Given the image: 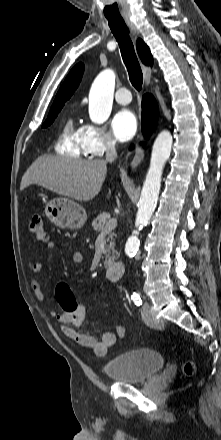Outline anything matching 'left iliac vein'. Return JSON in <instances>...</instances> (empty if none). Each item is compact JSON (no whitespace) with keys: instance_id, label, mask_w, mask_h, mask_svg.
<instances>
[{"instance_id":"obj_1","label":"left iliac vein","mask_w":221,"mask_h":440,"mask_svg":"<svg viewBox=\"0 0 221 440\" xmlns=\"http://www.w3.org/2000/svg\"><path fill=\"white\" fill-rule=\"evenodd\" d=\"M142 318L143 321L150 327L153 328H161L163 326V321L162 320H158L156 318H154L152 311H151V307L148 303H145L142 307Z\"/></svg>"}]
</instances>
